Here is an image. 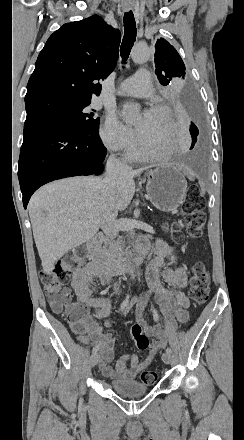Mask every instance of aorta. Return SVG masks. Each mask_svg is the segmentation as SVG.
Wrapping results in <instances>:
<instances>
[{
    "label": "aorta",
    "mask_w": 244,
    "mask_h": 440,
    "mask_svg": "<svg viewBox=\"0 0 244 440\" xmlns=\"http://www.w3.org/2000/svg\"><path fill=\"white\" fill-rule=\"evenodd\" d=\"M150 57V50L146 47H135L132 50V59L136 63H143ZM139 114V107L135 104L126 103L123 105L122 118L126 123H132ZM129 274L131 279L135 278L134 270L131 263L129 264Z\"/></svg>",
    "instance_id": "1"
}]
</instances>
